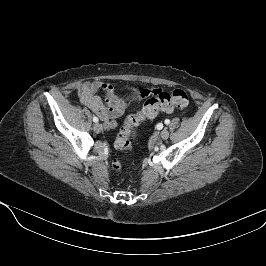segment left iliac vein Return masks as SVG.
<instances>
[{"label": "left iliac vein", "mask_w": 266, "mask_h": 266, "mask_svg": "<svg viewBox=\"0 0 266 266\" xmlns=\"http://www.w3.org/2000/svg\"><path fill=\"white\" fill-rule=\"evenodd\" d=\"M168 137H169V131H168L167 129H163V130L161 131V138H162L163 140H166V139H168Z\"/></svg>", "instance_id": "left-iliac-vein-1"}]
</instances>
